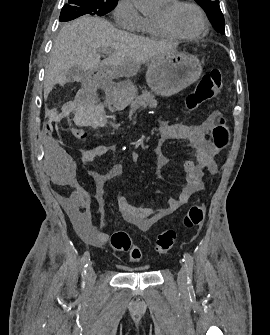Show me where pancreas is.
<instances>
[{"label":"pancreas","mask_w":270,"mask_h":335,"mask_svg":"<svg viewBox=\"0 0 270 335\" xmlns=\"http://www.w3.org/2000/svg\"><path fill=\"white\" fill-rule=\"evenodd\" d=\"M156 108L157 100H155V96L151 94V92H147V90H143L141 96H136L134 102L131 104L132 110H138V108Z\"/></svg>","instance_id":"cf45deb5"}]
</instances>
